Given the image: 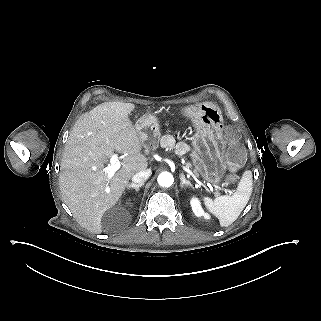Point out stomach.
I'll return each mask as SVG.
<instances>
[{"mask_svg": "<svg viewBox=\"0 0 321 321\" xmlns=\"http://www.w3.org/2000/svg\"><path fill=\"white\" fill-rule=\"evenodd\" d=\"M193 129L191 136L190 160L196 177L220 183L226 175L228 166L223 155L225 120L221 110L203 102L192 103L190 108L179 110ZM143 147L154 151L161 138V121L156 112H146L136 123Z\"/></svg>", "mask_w": 321, "mask_h": 321, "instance_id": "obj_1", "label": "stomach"}]
</instances>
